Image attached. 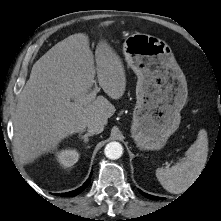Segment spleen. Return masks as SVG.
<instances>
[{
	"mask_svg": "<svg viewBox=\"0 0 221 221\" xmlns=\"http://www.w3.org/2000/svg\"><path fill=\"white\" fill-rule=\"evenodd\" d=\"M185 158L170 168H158L156 177L170 193L184 192L202 172L208 156V138L205 129L198 133L197 140L185 153Z\"/></svg>",
	"mask_w": 221,
	"mask_h": 221,
	"instance_id": "3e777b00",
	"label": "spleen"
}]
</instances>
